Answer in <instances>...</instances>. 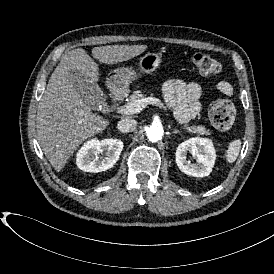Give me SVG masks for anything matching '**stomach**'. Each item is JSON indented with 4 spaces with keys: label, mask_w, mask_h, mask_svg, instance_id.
I'll return each instance as SVG.
<instances>
[{
    "label": "stomach",
    "mask_w": 274,
    "mask_h": 274,
    "mask_svg": "<svg viewBox=\"0 0 274 274\" xmlns=\"http://www.w3.org/2000/svg\"><path fill=\"white\" fill-rule=\"evenodd\" d=\"M161 53L148 52L139 61L140 73L116 69L109 73L106 79V86L112 92L123 95L129 89V84L137 79L141 73L150 74L155 71L162 62Z\"/></svg>",
    "instance_id": "stomach-1"
}]
</instances>
